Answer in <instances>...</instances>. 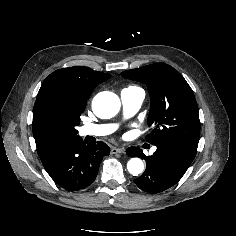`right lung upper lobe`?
Returning <instances> with one entry per match:
<instances>
[{
  "instance_id": "1",
  "label": "right lung upper lobe",
  "mask_w": 236,
  "mask_h": 236,
  "mask_svg": "<svg viewBox=\"0 0 236 236\" xmlns=\"http://www.w3.org/2000/svg\"><path fill=\"white\" fill-rule=\"evenodd\" d=\"M110 77L83 66L59 69L43 81L34 107L47 100H57L68 108L85 109L93 89Z\"/></svg>"
}]
</instances>
